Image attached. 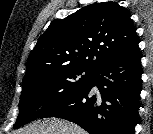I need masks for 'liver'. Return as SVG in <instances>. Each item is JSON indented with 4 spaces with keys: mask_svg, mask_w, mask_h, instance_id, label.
Instances as JSON below:
<instances>
[{
    "mask_svg": "<svg viewBox=\"0 0 153 134\" xmlns=\"http://www.w3.org/2000/svg\"><path fill=\"white\" fill-rule=\"evenodd\" d=\"M17 134H86L78 125L57 118H49L43 122H35Z\"/></svg>",
    "mask_w": 153,
    "mask_h": 134,
    "instance_id": "1",
    "label": "liver"
}]
</instances>
